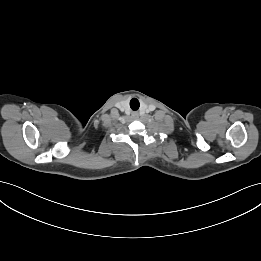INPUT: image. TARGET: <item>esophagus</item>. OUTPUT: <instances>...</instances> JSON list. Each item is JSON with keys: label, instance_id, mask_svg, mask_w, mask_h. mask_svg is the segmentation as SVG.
I'll list each match as a JSON object with an SVG mask.
<instances>
[{"label": "esophagus", "instance_id": "obj_1", "mask_svg": "<svg viewBox=\"0 0 261 261\" xmlns=\"http://www.w3.org/2000/svg\"><path fill=\"white\" fill-rule=\"evenodd\" d=\"M132 117H133L134 119H138V118H139V114H138L137 112H134V113L132 114Z\"/></svg>", "mask_w": 261, "mask_h": 261}]
</instances>
